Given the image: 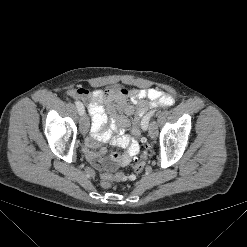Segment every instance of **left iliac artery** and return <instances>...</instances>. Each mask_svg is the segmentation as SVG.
<instances>
[{
  "label": "left iliac artery",
  "instance_id": "left-iliac-artery-1",
  "mask_svg": "<svg viewBox=\"0 0 247 247\" xmlns=\"http://www.w3.org/2000/svg\"><path fill=\"white\" fill-rule=\"evenodd\" d=\"M157 110H151L150 112H148L142 119V126H146L148 127L149 121L151 119V117L156 113Z\"/></svg>",
  "mask_w": 247,
  "mask_h": 247
}]
</instances>
